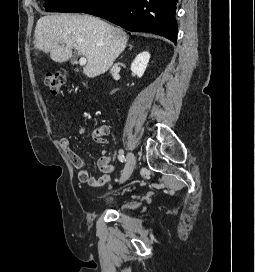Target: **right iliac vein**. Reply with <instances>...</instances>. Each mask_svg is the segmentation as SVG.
<instances>
[{
	"mask_svg": "<svg viewBox=\"0 0 255 272\" xmlns=\"http://www.w3.org/2000/svg\"><path fill=\"white\" fill-rule=\"evenodd\" d=\"M135 167V156L132 153L127 155V162L125 168L122 172L121 178L119 180L120 183H124L132 174Z\"/></svg>",
	"mask_w": 255,
	"mask_h": 272,
	"instance_id": "1",
	"label": "right iliac vein"
}]
</instances>
